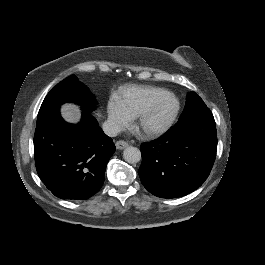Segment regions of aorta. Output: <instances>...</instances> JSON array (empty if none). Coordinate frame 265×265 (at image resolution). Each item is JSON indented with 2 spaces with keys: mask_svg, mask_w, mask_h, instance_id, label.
<instances>
[{
  "mask_svg": "<svg viewBox=\"0 0 265 265\" xmlns=\"http://www.w3.org/2000/svg\"><path fill=\"white\" fill-rule=\"evenodd\" d=\"M123 158L128 163H137L141 159L140 150L137 147L128 146L123 151Z\"/></svg>",
  "mask_w": 265,
  "mask_h": 265,
  "instance_id": "obj_1",
  "label": "aorta"
}]
</instances>
